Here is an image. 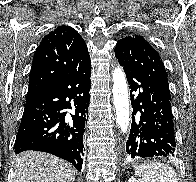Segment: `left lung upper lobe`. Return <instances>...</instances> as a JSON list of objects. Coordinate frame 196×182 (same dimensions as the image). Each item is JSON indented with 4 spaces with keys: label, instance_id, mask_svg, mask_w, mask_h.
Listing matches in <instances>:
<instances>
[{
    "label": "left lung upper lobe",
    "instance_id": "left-lung-upper-lobe-1",
    "mask_svg": "<svg viewBox=\"0 0 196 182\" xmlns=\"http://www.w3.org/2000/svg\"><path fill=\"white\" fill-rule=\"evenodd\" d=\"M115 56L154 82L166 95L170 96L168 79L161 57L142 36H128L119 40L116 44Z\"/></svg>",
    "mask_w": 196,
    "mask_h": 182
}]
</instances>
